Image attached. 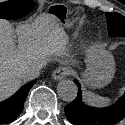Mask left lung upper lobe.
Here are the masks:
<instances>
[{
	"label": "left lung upper lobe",
	"mask_w": 125,
	"mask_h": 125,
	"mask_svg": "<svg viewBox=\"0 0 125 125\" xmlns=\"http://www.w3.org/2000/svg\"><path fill=\"white\" fill-rule=\"evenodd\" d=\"M106 17L109 35L125 37V17L115 12H107Z\"/></svg>",
	"instance_id": "1"
}]
</instances>
